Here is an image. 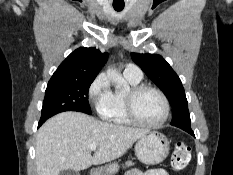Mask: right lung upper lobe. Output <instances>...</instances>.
Instances as JSON below:
<instances>
[{"label": "right lung upper lobe", "instance_id": "right-lung-upper-lobe-1", "mask_svg": "<svg viewBox=\"0 0 233 175\" xmlns=\"http://www.w3.org/2000/svg\"><path fill=\"white\" fill-rule=\"evenodd\" d=\"M107 59L108 54L96 48L80 47L61 63L50 80L95 78Z\"/></svg>", "mask_w": 233, "mask_h": 175}]
</instances>
